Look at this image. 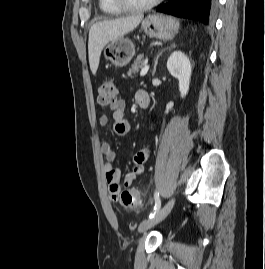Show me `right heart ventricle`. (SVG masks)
Returning a JSON list of instances; mask_svg holds the SVG:
<instances>
[{
	"mask_svg": "<svg viewBox=\"0 0 265 269\" xmlns=\"http://www.w3.org/2000/svg\"><path fill=\"white\" fill-rule=\"evenodd\" d=\"M99 7L106 14H119L122 12L112 0H99Z\"/></svg>",
	"mask_w": 265,
	"mask_h": 269,
	"instance_id": "1",
	"label": "right heart ventricle"
}]
</instances>
